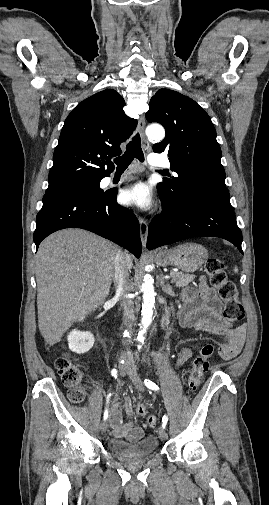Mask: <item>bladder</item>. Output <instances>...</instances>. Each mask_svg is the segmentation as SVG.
<instances>
[{
	"label": "bladder",
	"mask_w": 269,
	"mask_h": 505,
	"mask_svg": "<svg viewBox=\"0 0 269 505\" xmlns=\"http://www.w3.org/2000/svg\"><path fill=\"white\" fill-rule=\"evenodd\" d=\"M158 444V439L154 435H147L136 441H125L118 438L108 440L109 450L126 460L150 457L155 454Z\"/></svg>",
	"instance_id": "bladder-1"
}]
</instances>
